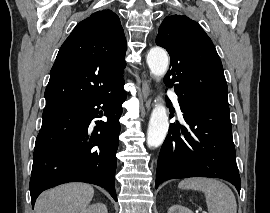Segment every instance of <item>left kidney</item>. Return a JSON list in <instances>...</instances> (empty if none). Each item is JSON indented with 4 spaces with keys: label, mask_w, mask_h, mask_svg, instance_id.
I'll return each mask as SVG.
<instances>
[{
    "label": "left kidney",
    "mask_w": 270,
    "mask_h": 213,
    "mask_svg": "<svg viewBox=\"0 0 270 213\" xmlns=\"http://www.w3.org/2000/svg\"><path fill=\"white\" fill-rule=\"evenodd\" d=\"M168 213H193V212L189 208H186L182 205L174 204L169 208Z\"/></svg>",
    "instance_id": "left-kidney-1"
}]
</instances>
